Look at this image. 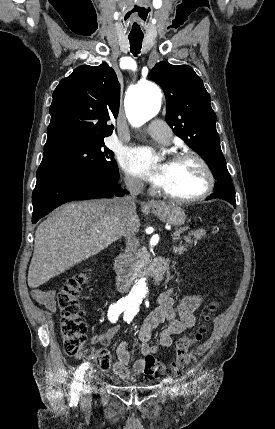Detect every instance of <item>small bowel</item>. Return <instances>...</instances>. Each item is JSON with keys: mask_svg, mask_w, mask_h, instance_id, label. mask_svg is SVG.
I'll use <instances>...</instances> for the list:
<instances>
[{"mask_svg": "<svg viewBox=\"0 0 275 429\" xmlns=\"http://www.w3.org/2000/svg\"><path fill=\"white\" fill-rule=\"evenodd\" d=\"M55 290L32 291L33 299L49 310H55ZM203 302L202 295H189L183 297L175 306L173 292L167 289L158 297V306L146 317L139 331L140 352L142 357L136 360L131 367L130 353L127 343L122 341L116 348L117 361L110 368V375L124 379H134L135 376L146 373V363L162 348L169 347L175 335L192 328L196 324L195 312ZM166 323L160 332L158 342L150 344L153 332L159 325ZM119 333V327L113 326L98 336L100 343L110 342Z\"/></svg>", "mask_w": 275, "mask_h": 429, "instance_id": "c3829d8e", "label": "small bowel"}]
</instances>
